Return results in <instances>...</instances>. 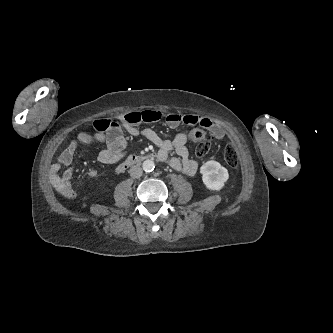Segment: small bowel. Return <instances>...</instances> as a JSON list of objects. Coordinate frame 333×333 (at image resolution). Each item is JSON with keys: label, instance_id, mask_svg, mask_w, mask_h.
<instances>
[{"label": "small bowel", "instance_id": "obj_1", "mask_svg": "<svg viewBox=\"0 0 333 333\" xmlns=\"http://www.w3.org/2000/svg\"><path fill=\"white\" fill-rule=\"evenodd\" d=\"M161 118V113L157 110L134 111L125 114L120 119V127L113 132H97L90 134L81 132L76 140L72 141L66 149L62 151L58 160L53 163L49 170V179L53 187L61 195L68 199H74L75 193L72 191L73 168L71 166L73 155L78 143L93 144L105 143L106 148L99 155L98 160L103 164H115L126 155V140L122 134V129L131 135H141L158 147L157 157L161 161H166L174 170L182 172L188 176H193L198 171V164L189 156L187 148L188 136L181 132L172 140L162 139L154 130L145 128L140 129L139 125L143 122H155ZM166 123L170 127L179 125H200L208 129L215 139L224 137L223 128L204 116L192 114L170 113L166 116ZM171 151H175L178 157H169ZM64 171L61 173V170ZM89 176L95 177L97 171L91 169Z\"/></svg>", "mask_w": 333, "mask_h": 333}]
</instances>
